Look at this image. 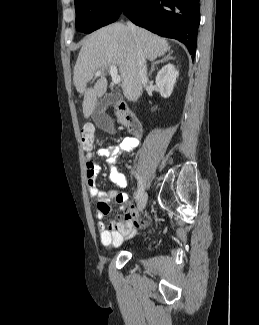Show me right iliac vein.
<instances>
[{"instance_id": "right-iliac-vein-1", "label": "right iliac vein", "mask_w": 259, "mask_h": 325, "mask_svg": "<svg viewBox=\"0 0 259 325\" xmlns=\"http://www.w3.org/2000/svg\"><path fill=\"white\" fill-rule=\"evenodd\" d=\"M142 186H143V183H142ZM142 189H143L142 190L143 192H142V194H140L139 199H138V204H137L139 211H143V209L145 208L146 203H147V194L144 190V186L142 187Z\"/></svg>"}]
</instances>
